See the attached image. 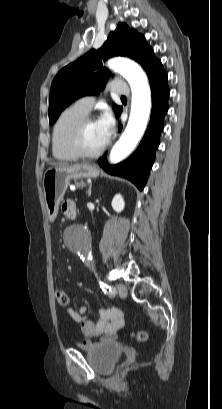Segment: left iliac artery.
<instances>
[{
    "label": "left iliac artery",
    "mask_w": 222,
    "mask_h": 409,
    "mask_svg": "<svg viewBox=\"0 0 222 409\" xmlns=\"http://www.w3.org/2000/svg\"><path fill=\"white\" fill-rule=\"evenodd\" d=\"M100 288L105 294L114 295L116 293L115 288L111 287L110 285L100 281L99 282Z\"/></svg>",
    "instance_id": "obj_1"
}]
</instances>
